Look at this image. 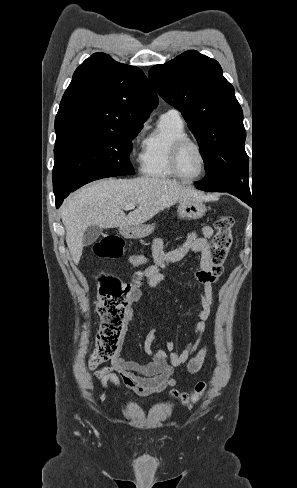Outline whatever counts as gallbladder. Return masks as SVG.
Wrapping results in <instances>:
<instances>
[{"label": "gallbladder", "instance_id": "1", "mask_svg": "<svg viewBox=\"0 0 297 488\" xmlns=\"http://www.w3.org/2000/svg\"><path fill=\"white\" fill-rule=\"evenodd\" d=\"M102 233V228L96 225L89 226L83 235V245L88 246L93 244Z\"/></svg>", "mask_w": 297, "mask_h": 488}]
</instances>
